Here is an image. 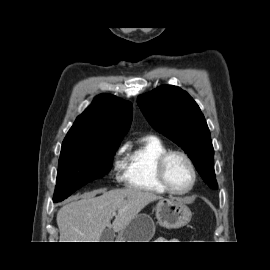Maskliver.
<instances>
[{
	"instance_id": "obj_1",
	"label": "liver",
	"mask_w": 270,
	"mask_h": 270,
	"mask_svg": "<svg viewBox=\"0 0 270 270\" xmlns=\"http://www.w3.org/2000/svg\"><path fill=\"white\" fill-rule=\"evenodd\" d=\"M98 193L101 196L96 197ZM162 197L135 188L95 190L64 205L57 213L60 242H99L106 227L124 229L149 203ZM113 212L115 219L111 224Z\"/></svg>"
}]
</instances>
